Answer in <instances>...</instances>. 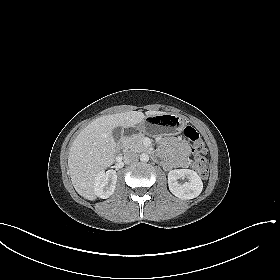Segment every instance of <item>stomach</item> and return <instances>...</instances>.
I'll list each match as a JSON object with an SVG mask.
<instances>
[{"label":"stomach","instance_id":"1","mask_svg":"<svg viewBox=\"0 0 280 280\" xmlns=\"http://www.w3.org/2000/svg\"><path fill=\"white\" fill-rule=\"evenodd\" d=\"M185 126L182 117L174 114H161L157 116L147 117L136 126L137 130L144 133H153L162 130L166 133L177 135L181 133Z\"/></svg>","mask_w":280,"mask_h":280}]
</instances>
